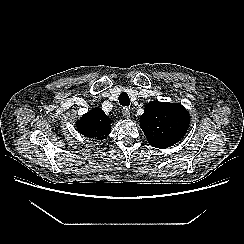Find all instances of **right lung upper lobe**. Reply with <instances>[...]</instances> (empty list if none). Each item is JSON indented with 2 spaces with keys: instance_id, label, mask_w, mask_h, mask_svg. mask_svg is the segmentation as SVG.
<instances>
[{
  "instance_id": "obj_1",
  "label": "right lung upper lobe",
  "mask_w": 244,
  "mask_h": 244,
  "mask_svg": "<svg viewBox=\"0 0 244 244\" xmlns=\"http://www.w3.org/2000/svg\"><path fill=\"white\" fill-rule=\"evenodd\" d=\"M111 122L100 108H93L76 122V127L86 137L103 140L111 132Z\"/></svg>"
}]
</instances>
